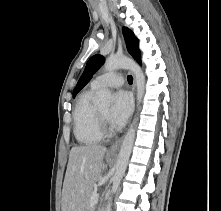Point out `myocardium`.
<instances>
[{"label": "myocardium", "instance_id": "1", "mask_svg": "<svg viewBox=\"0 0 221 211\" xmlns=\"http://www.w3.org/2000/svg\"><path fill=\"white\" fill-rule=\"evenodd\" d=\"M98 119H99V122H100L102 132H107L106 116L104 114H102V112L100 110H98Z\"/></svg>", "mask_w": 221, "mask_h": 211}]
</instances>
